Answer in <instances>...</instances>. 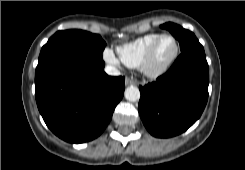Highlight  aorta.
<instances>
[{
	"mask_svg": "<svg viewBox=\"0 0 245 170\" xmlns=\"http://www.w3.org/2000/svg\"><path fill=\"white\" fill-rule=\"evenodd\" d=\"M124 96L128 101L136 102L140 99V91L137 87L130 86L125 89Z\"/></svg>",
	"mask_w": 245,
	"mask_h": 170,
	"instance_id": "obj_1",
	"label": "aorta"
}]
</instances>
